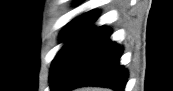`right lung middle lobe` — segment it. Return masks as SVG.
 I'll list each match as a JSON object with an SVG mask.
<instances>
[{"instance_id": "1", "label": "right lung middle lobe", "mask_w": 173, "mask_h": 91, "mask_svg": "<svg viewBox=\"0 0 173 91\" xmlns=\"http://www.w3.org/2000/svg\"><path fill=\"white\" fill-rule=\"evenodd\" d=\"M83 26L84 25H80V24H69L62 32V41L67 40V42L63 46V48L58 52L57 56L53 60L50 77L53 75V73H54L60 59L62 58L63 54L65 53L68 45L70 44V42L73 40V38L76 36V34L80 31V29Z\"/></svg>"}]
</instances>
